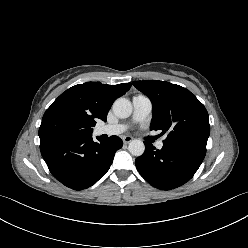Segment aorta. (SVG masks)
Here are the masks:
<instances>
[{"label":"aorta","instance_id":"obj_1","mask_svg":"<svg viewBox=\"0 0 248 248\" xmlns=\"http://www.w3.org/2000/svg\"><path fill=\"white\" fill-rule=\"evenodd\" d=\"M114 114L119 118H127L132 113V104L126 98H118L112 106ZM129 152L134 156H141L144 153L145 145L141 140H132L128 145Z\"/></svg>","mask_w":248,"mask_h":248}]
</instances>
